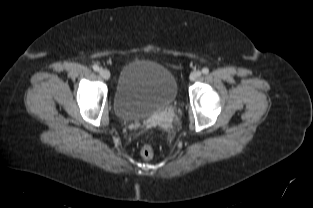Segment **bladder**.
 <instances>
[{
    "label": "bladder",
    "mask_w": 313,
    "mask_h": 208,
    "mask_svg": "<svg viewBox=\"0 0 313 208\" xmlns=\"http://www.w3.org/2000/svg\"><path fill=\"white\" fill-rule=\"evenodd\" d=\"M177 82L166 67L152 61H132L121 69L114 93V108L123 120L150 117L172 104Z\"/></svg>",
    "instance_id": "obj_1"
}]
</instances>
